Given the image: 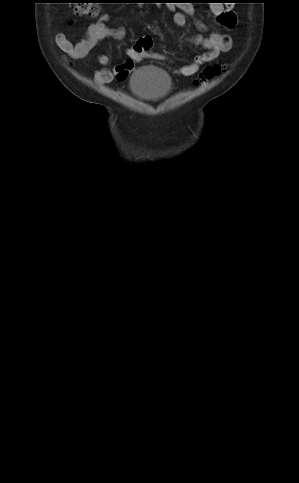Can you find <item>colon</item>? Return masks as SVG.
I'll return each mask as SVG.
<instances>
[{"instance_id":"5ec220e1","label":"colon","mask_w":299,"mask_h":483,"mask_svg":"<svg viewBox=\"0 0 299 483\" xmlns=\"http://www.w3.org/2000/svg\"><path fill=\"white\" fill-rule=\"evenodd\" d=\"M74 7V13L77 16L94 17L99 13V3H103L101 0H79ZM189 3H194L191 0ZM221 73V67L219 65H212L205 68L203 72L204 78H212Z\"/></svg>"}]
</instances>
